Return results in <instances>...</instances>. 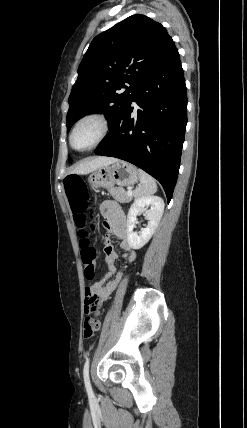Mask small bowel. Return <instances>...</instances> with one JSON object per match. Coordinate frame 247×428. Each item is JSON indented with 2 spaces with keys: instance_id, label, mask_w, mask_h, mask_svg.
Listing matches in <instances>:
<instances>
[{
  "instance_id": "small-bowel-1",
  "label": "small bowel",
  "mask_w": 247,
  "mask_h": 428,
  "mask_svg": "<svg viewBox=\"0 0 247 428\" xmlns=\"http://www.w3.org/2000/svg\"><path fill=\"white\" fill-rule=\"evenodd\" d=\"M100 211L111 234L120 240V248L125 252L123 257L130 262L134 261L136 254L128 241L127 219L122 207L115 201H105L101 204ZM104 253L109 271L100 281L85 288L86 299L106 301L122 278V271L116 267L118 255L111 243H105Z\"/></svg>"
}]
</instances>
